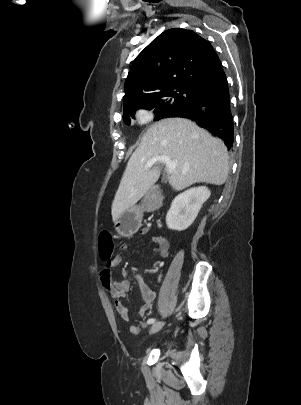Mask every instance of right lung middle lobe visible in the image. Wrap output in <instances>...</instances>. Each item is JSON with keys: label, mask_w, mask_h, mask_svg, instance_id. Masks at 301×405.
<instances>
[{"label": "right lung middle lobe", "mask_w": 301, "mask_h": 405, "mask_svg": "<svg viewBox=\"0 0 301 405\" xmlns=\"http://www.w3.org/2000/svg\"><path fill=\"white\" fill-rule=\"evenodd\" d=\"M200 94L199 91L185 88L161 92L145 98L137 108L123 112V119L127 125H130V117L134 118L136 110L141 108H155V119L165 118L173 111L193 102Z\"/></svg>", "instance_id": "obj_1"}]
</instances>
